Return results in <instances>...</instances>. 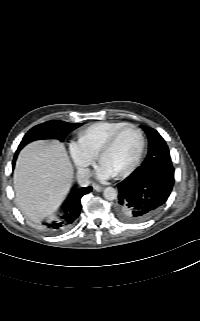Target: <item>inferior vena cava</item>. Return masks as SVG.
Returning a JSON list of instances; mask_svg holds the SVG:
<instances>
[{
    "mask_svg": "<svg viewBox=\"0 0 200 321\" xmlns=\"http://www.w3.org/2000/svg\"><path fill=\"white\" fill-rule=\"evenodd\" d=\"M77 180L80 186L87 187L90 184V170L87 168H79L77 172Z\"/></svg>",
    "mask_w": 200,
    "mask_h": 321,
    "instance_id": "obj_1",
    "label": "inferior vena cava"
}]
</instances>
